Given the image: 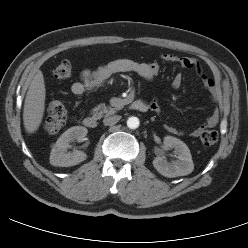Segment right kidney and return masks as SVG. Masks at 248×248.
<instances>
[{"instance_id": "ca27d5eb", "label": "right kidney", "mask_w": 248, "mask_h": 248, "mask_svg": "<svg viewBox=\"0 0 248 248\" xmlns=\"http://www.w3.org/2000/svg\"><path fill=\"white\" fill-rule=\"evenodd\" d=\"M88 130L83 126H73L67 129L54 144L50 153V164L59 167L77 165L87 159L83 151L73 150L67 152L70 142H83Z\"/></svg>"}]
</instances>
